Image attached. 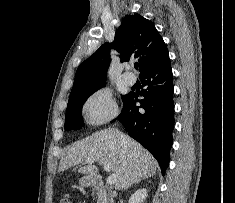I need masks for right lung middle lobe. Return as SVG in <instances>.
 <instances>
[{
  "instance_id": "right-lung-middle-lobe-1",
  "label": "right lung middle lobe",
  "mask_w": 235,
  "mask_h": 203,
  "mask_svg": "<svg viewBox=\"0 0 235 203\" xmlns=\"http://www.w3.org/2000/svg\"><path fill=\"white\" fill-rule=\"evenodd\" d=\"M105 85V82L95 84L70 94L65 117V130L80 129L83 126L82 106L87 98ZM125 96H122V99Z\"/></svg>"
}]
</instances>
